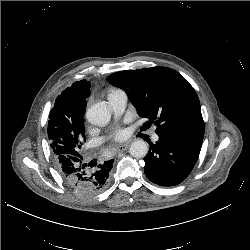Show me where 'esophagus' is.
<instances>
[{"mask_svg": "<svg viewBox=\"0 0 250 250\" xmlns=\"http://www.w3.org/2000/svg\"><path fill=\"white\" fill-rule=\"evenodd\" d=\"M129 147V143L121 144L116 147L118 152H123Z\"/></svg>", "mask_w": 250, "mask_h": 250, "instance_id": "obj_1", "label": "esophagus"}]
</instances>
